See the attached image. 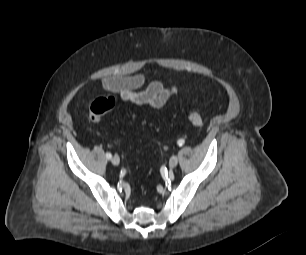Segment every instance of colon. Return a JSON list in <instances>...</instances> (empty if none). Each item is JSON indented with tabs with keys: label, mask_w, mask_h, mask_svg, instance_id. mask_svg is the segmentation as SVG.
I'll return each mask as SVG.
<instances>
[{
	"label": "colon",
	"mask_w": 306,
	"mask_h": 255,
	"mask_svg": "<svg viewBox=\"0 0 306 255\" xmlns=\"http://www.w3.org/2000/svg\"><path fill=\"white\" fill-rule=\"evenodd\" d=\"M116 99L112 96L100 97L96 99L90 107V118L95 123H101L103 116L113 110L116 107ZM187 118L189 122L195 128H201L203 125V119L199 112L190 109L187 112Z\"/></svg>",
	"instance_id": "5ec220e1"
}]
</instances>
